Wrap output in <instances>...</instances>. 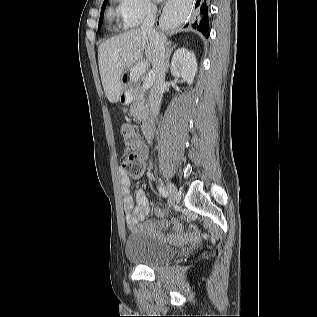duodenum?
Listing matches in <instances>:
<instances>
[{
    "label": "duodenum",
    "mask_w": 317,
    "mask_h": 317,
    "mask_svg": "<svg viewBox=\"0 0 317 317\" xmlns=\"http://www.w3.org/2000/svg\"><path fill=\"white\" fill-rule=\"evenodd\" d=\"M124 105H128V102H124ZM125 109H128V106H125ZM143 134L144 138L150 142L154 139L156 134V126L152 119H148L145 122L144 128H143Z\"/></svg>",
    "instance_id": "410a0bca"
}]
</instances>
